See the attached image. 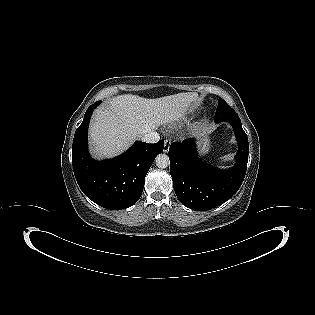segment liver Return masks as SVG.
Segmentation results:
<instances>
[{"label": "liver", "instance_id": "6515ba94", "mask_svg": "<svg viewBox=\"0 0 315 315\" xmlns=\"http://www.w3.org/2000/svg\"><path fill=\"white\" fill-rule=\"evenodd\" d=\"M196 99V93L156 99L131 94L112 98L93 115L89 128L93 155L103 158L120 154L144 134L184 119Z\"/></svg>", "mask_w": 315, "mask_h": 315}]
</instances>
